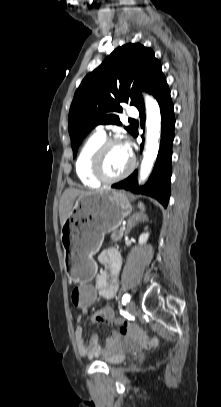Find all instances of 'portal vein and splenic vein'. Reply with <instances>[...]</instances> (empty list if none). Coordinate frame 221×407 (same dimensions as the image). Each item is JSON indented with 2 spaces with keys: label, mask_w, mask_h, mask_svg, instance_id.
Returning <instances> with one entry per match:
<instances>
[{
  "label": "portal vein and splenic vein",
  "mask_w": 221,
  "mask_h": 407,
  "mask_svg": "<svg viewBox=\"0 0 221 407\" xmlns=\"http://www.w3.org/2000/svg\"><path fill=\"white\" fill-rule=\"evenodd\" d=\"M120 230H121V231H124V230H125V226L123 225V226L120 228Z\"/></svg>",
  "instance_id": "portal-vein-and-splenic-vein-1"
}]
</instances>
